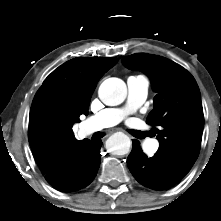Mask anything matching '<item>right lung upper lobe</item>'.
Segmentation results:
<instances>
[{
	"label": "right lung upper lobe",
	"instance_id": "right-lung-upper-lobe-1",
	"mask_svg": "<svg viewBox=\"0 0 221 221\" xmlns=\"http://www.w3.org/2000/svg\"><path fill=\"white\" fill-rule=\"evenodd\" d=\"M117 58L77 57L54 70L32 102L28 138L45 176L59 175L89 139L78 141L72 130L88 114L90 99L103 74Z\"/></svg>",
	"mask_w": 221,
	"mask_h": 221
}]
</instances>
